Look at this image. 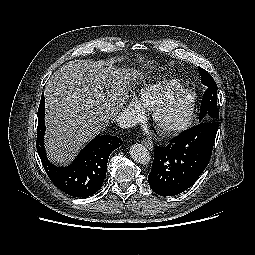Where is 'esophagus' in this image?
Returning a JSON list of instances; mask_svg holds the SVG:
<instances>
[{
  "instance_id": "obj_1",
  "label": "esophagus",
  "mask_w": 255,
  "mask_h": 255,
  "mask_svg": "<svg viewBox=\"0 0 255 255\" xmlns=\"http://www.w3.org/2000/svg\"><path fill=\"white\" fill-rule=\"evenodd\" d=\"M141 143L146 147L148 148L149 150H153L154 148V144L152 141H149V140H142Z\"/></svg>"
}]
</instances>
